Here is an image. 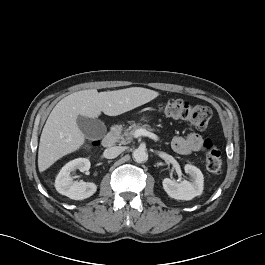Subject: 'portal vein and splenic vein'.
<instances>
[{
	"mask_svg": "<svg viewBox=\"0 0 265 265\" xmlns=\"http://www.w3.org/2000/svg\"><path fill=\"white\" fill-rule=\"evenodd\" d=\"M134 136L137 138V137H149L150 139H153L155 141H158L159 140V137L154 134V133H151L145 129H138L134 132Z\"/></svg>",
	"mask_w": 265,
	"mask_h": 265,
	"instance_id": "portal-vein-and-splenic-vein-1",
	"label": "portal vein and splenic vein"
}]
</instances>
